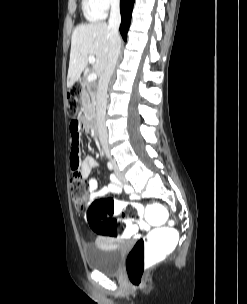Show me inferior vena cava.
Wrapping results in <instances>:
<instances>
[{
    "label": "inferior vena cava",
    "instance_id": "1",
    "mask_svg": "<svg viewBox=\"0 0 247 304\" xmlns=\"http://www.w3.org/2000/svg\"><path fill=\"white\" fill-rule=\"evenodd\" d=\"M120 0H112L111 11L109 18V27L111 28L110 47L108 53V61L106 68L101 75L98 83V90L96 94V116L95 126L98 132L101 146L106 156L114 163L110 156L108 148V134L105 123L106 107H107V90L111 76L115 70L117 59L120 53L121 39L119 35V26L121 22L120 15Z\"/></svg>",
    "mask_w": 247,
    "mask_h": 304
}]
</instances>
